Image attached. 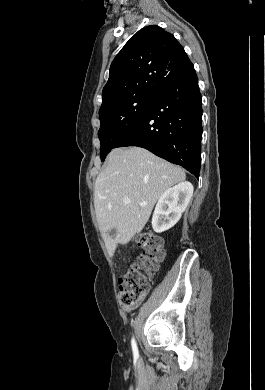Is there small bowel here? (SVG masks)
<instances>
[{
	"mask_svg": "<svg viewBox=\"0 0 265 390\" xmlns=\"http://www.w3.org/2000/svg\"><path fill=\"white\" fill-rule=\"evenodd\" d=\"M138 305H139V302H137L136 304H133L131 306H124L123 309L126 312H130V311L134 310Z\"/></svg>",
	"mask_w": 265,
	"mask_h": 390,
	"instance_id": "1",
	"label": "small bowel"
}]
</instances>
